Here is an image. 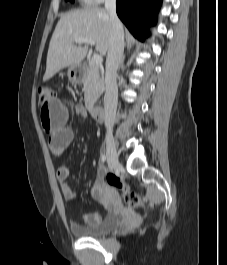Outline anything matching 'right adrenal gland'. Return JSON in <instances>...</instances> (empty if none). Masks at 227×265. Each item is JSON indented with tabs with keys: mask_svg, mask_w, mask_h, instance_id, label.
<instances>
[{
	"mask_svg": "<svg viewBox=\"0 0 227 265\" xmlns=\"http://www.w3.org/2000/svg\"><path fill=\"white\" fill-rule=\"evenodd\" d=\"M124 60H125V55L122 56V59H121V62H120V67L123 65Z\"/></svg>",
	"mask_w": 227,
	"mask_h": 265,
	"instance_id": "right-adrenal-gland-1",
	"label": "right adrenal gland"
}]
</instances>
